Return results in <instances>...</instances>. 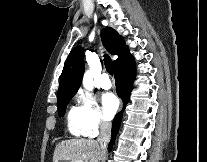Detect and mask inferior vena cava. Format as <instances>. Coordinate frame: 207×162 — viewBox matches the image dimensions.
Listing matches in <instances>:
<instances>
[{
    "label": "inferior vena cava",
    "mask_w": 207,
    "mask_h": 162,
    "mask_svg": "<svg viewBox=\"0 0 207 162\" xmlns=\"http://www.w3.org/2000/svg\"><path fill=\"white\" fill-rule=\"evenodd\" d=\"M111 138V123L107 121L100 122V134L96 140V144L100 150L101 157L104 158L107 145Z\"/></svg>",
    "instance_id": "1"
}]
</instances>
